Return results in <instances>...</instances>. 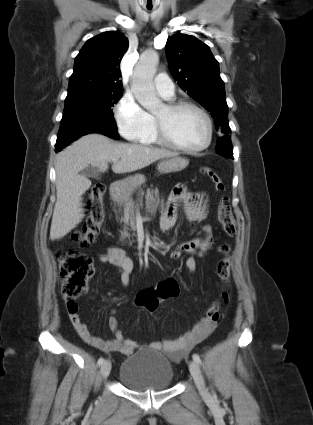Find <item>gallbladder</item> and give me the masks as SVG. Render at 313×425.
I'll return each instance as SVG.
<instances>
[{
  "mask_svg": "<svg viewBox=\"0 0 313 425\" xmlns=\"http://www.w3.org/2000/svg\"><path fill=\"white\" fill-rule=\"evenodd\" d=\"M82 174L87 176V177H95V178H99L98 174L96 172V170L93 167H86L83 171Z\"/></svg>",
  "mask_w": 313,
  "mask_h": 425,
  "instance_id": "1",
  "label": "gallbladder"
}]
</instances>
